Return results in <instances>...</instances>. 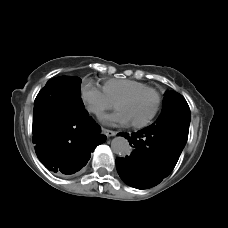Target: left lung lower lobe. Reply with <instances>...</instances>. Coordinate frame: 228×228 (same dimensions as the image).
I'll list each match as a JSON object with an SVG mask.
<instances>
[{
    "instance_id": "left-lung-lower-lobe-1",
    "label": "left lung lower lobe",
    "mask_w": 228,
    "mask_h": 228,
    "mask_svg": "<svg viewBox=\"0 0 228 228\" xmlns=\"http://www.w3.org/2000/svg\"><path fill=\"white\" fill-rule=\"evenodd\" d=\"M128 139L134 151L125 158H116L117 171L122 180L135 188L145 189L160 183L175 167L187 142L181 132L152 124Z\"/></svg>"
}]
</instances>
